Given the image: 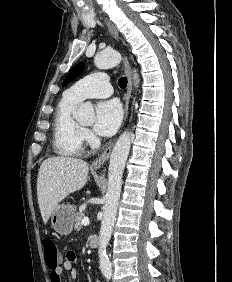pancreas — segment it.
<instances>
[{
    "instance_id": "obj_1",
    "label": "pancreas",
    "mask_w": 232,
    "mask_h": 282,
    "mask_svg": "<svg viewBox=\"0 0 232 282\" xmlns=\"http://www.w3.org/2000/svg\"><path fill=\"white\" fill-rule=\"evenodd\" d=\"M85 217L84 213H77L75 215V230L76 231H80L81 227H82V219Z\"/></svg>"
}]
</instances>
